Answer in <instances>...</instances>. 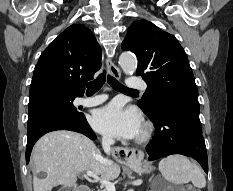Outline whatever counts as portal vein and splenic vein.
I'll return each instance as SVG.
<instances>
[{
    "label": "portal vein and splenic vein",
    "mask_w": 233,
    "mask_h": 191,
    "mask_svg": "<svg viewBox=\"0 0 233 191\" xmlns=\"http://www.w3.org/2000/svg\"><path fill=\"white\" fill-rule=\"evenodd\" d=\"M86 174L89 177H92L95 181H99L102 185H104L106 191H116L114 184L111 183L110 181L99 178L97 174H95L92 171H86Z\"/></svg>",
    "instance_id": "obj_1"
}]
</instances>
